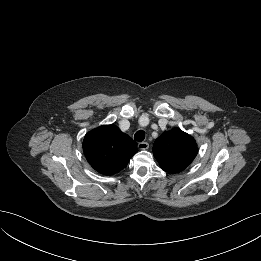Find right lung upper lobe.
<instances>
[{"label": "right lung upper lobe", "mask_w": 261, "mask_h": 261, "mask_svg": "<svg viewBox=\"0 0 261 261\" xmlns=\"http://www.w3.org/2000/svg\"><path fill=\"white\" fill-rule=\"evenodd\" d=\"M83 151L89 164L103 175H114L125 168L137 152V144L115 125H104L88 132Z\"/></svg>", "instance_id": "1"}]
</instances>
